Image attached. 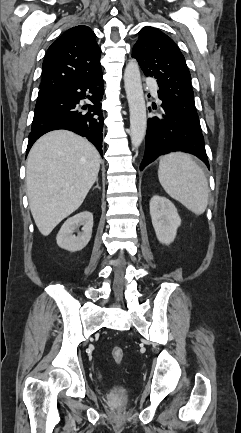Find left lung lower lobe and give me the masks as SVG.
<instances>
[{
  "label": "left lung lower lobe",
  "instance_id": "1",
  "mask_svg": "<svg viewBox=\"0 0 241 433\" xmlns=\"http://www.w3.org/2000/svg\"><path fill=\"white\" fill-rule=\"evenodd\" d=\"M162 103L153 109L157 114L148 119L145 139V153L140 165L143 170L160 155L173 151H183L196 155L209 168L201 129L191 124L164 97L159 96ZM151 111V109L149 108Z\"/></svg>",
  "mask_w": 241,
  "mask_h": 433
}]
</instances>
